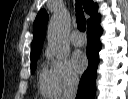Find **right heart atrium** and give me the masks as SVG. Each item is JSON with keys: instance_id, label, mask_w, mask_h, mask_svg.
<instances>
[{"instance_id": "1", "label": "right heart atrium", "mask_w": 128, "mask_h": 99, "mask_svg": "<svg viewBox=\"0 0 128 99\" xmlns=\"http://www.w3.org/2000/svg\"><path fill=\"white\" fill-rule=\"evenodd\" d=\"M47 57L51 61L50 72L58 92L74 88L79 82V77L71 63L64 58H53L50 53H47Z\"/></svg>"}]
</instances>
